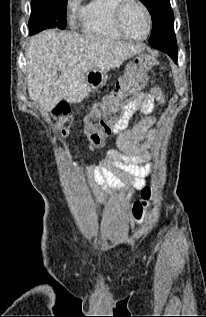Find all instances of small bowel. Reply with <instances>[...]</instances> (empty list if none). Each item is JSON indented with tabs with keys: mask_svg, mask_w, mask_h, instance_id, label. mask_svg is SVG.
Returning <instances> with one entry per match:
<instances>
[{
	"mask_svg": "<svg viewBox=\"0 0 206 317\" xmlns=\"http://www.w3.org/2000/svg\"><path fill=\"white\" fill-rule=\"evenodd\" d=\"M155 102L165 103V97L160 88L150 87L148 91L141 92L131 101L118 123L113 128L116 136V144L119 150H109L106 159L98 166L87 168L90 184L96 194V203L102 199V195L108 188L121 190L123 182L113 172V168L137 178L136 187H142L143 179L150 173L151 166L149 147L153 139V125L156 118L151 115ZM140 111L145 117L134 125L127 128L131 117Z\"/></svg>",
	"mask_w": 206,
	"mask_h": 317,
	"instance_id": "1",
	"label": "small bowel"
}]
</instances>
